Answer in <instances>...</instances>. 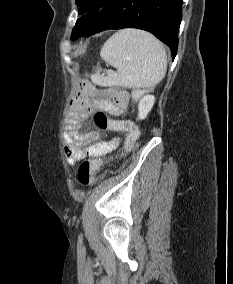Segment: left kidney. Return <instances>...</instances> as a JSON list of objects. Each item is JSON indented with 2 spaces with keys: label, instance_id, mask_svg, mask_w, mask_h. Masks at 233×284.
Instances as JSON below:
<instances>
[{
  "label": "left kidney",
  "instance_id": "obj_1",
  "mask_svg": "<svg viewBox=\"0 0 233 284\" xmlns=\"http://www.w3.org/2000/svg\"><path fill=\"white\" fill-rule=\"evenodd\" d=\"M155 103V97L153 95H144L138 104V119L143 120L147 117Z\"/></svg>",
  "mask_w": 233,
  "mask_h": 284
}]
</instances>
